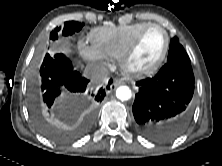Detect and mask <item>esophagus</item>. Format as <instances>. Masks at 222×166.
<instances>
[{"mask_svg":"<svg viewBox=\"0 0 222 166\" xmlns=\"http://www.w3.org/2000/svg\"><path fill=\"white\" fill-rule=\"evenodd\" d=\"M124 82L122 81V80H120V79H113V85L115 86V87H117V86H119V85H121V84H123Z\"/></svg>","mask_w":222,"mask_h":166,"instance_id":"obj_1","label":"esophagus"}]
</instances>
